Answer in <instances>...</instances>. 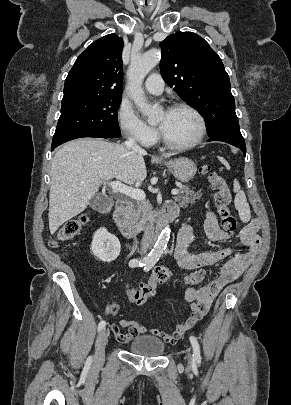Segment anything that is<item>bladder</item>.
I'll use <instances>...</instances> for the list:
<instances>
[{"instance_id":"obj_1","label":"bladder","mask_w":291,"mask_h":405,"mask_svg":"<svg viewBox=\"0 0 291 405\" xmlns=\"http://www.w3.org/2000/svg\"><path fill=\"white\" fill-rule=\"evenodd\" d=\"M164 343L153 336L143 335L129 345V351L144 357H157L164 352Z\"/></svg>"}]
</instances>
